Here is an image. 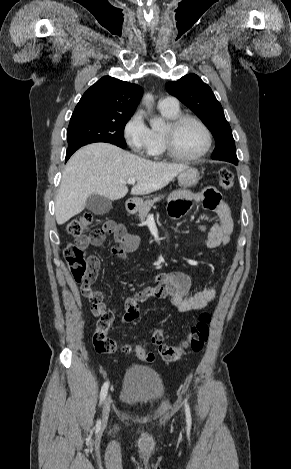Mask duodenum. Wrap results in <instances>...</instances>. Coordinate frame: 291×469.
<instances>
[{
  "mask_svg": "<svg viewBox=\"0 0 291 469\" xmlns=\"http://www.w3.org/2000/svg\"><path fill=\"white\" fill-rule=\"evenodd\" d=\"M136 209V202L133 201V200H128L126 202V210L129 212V213H132L134 212V210Z\"/></svg>",
  "mask_w": 291,
  "mask_h": 469,
  "instance_id": "410a0bca",
  "label": "duodenum"
}]
</instances>
